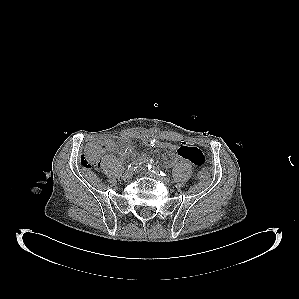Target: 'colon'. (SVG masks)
Returning <instances> with one entry per match:
<instances>
[{"instance_id":"5ec220e1","label":"colon","mask_w":299,"mask_h":299,"mask_svg":"<svg viewBox=\"0 0 299 299\" xmlns=\"http://www.w3.org/2000/svg\"><path fill=\"white\" fill-rule=\"evenodd\" d=\"M105 150V144L100 142H93L89 144L80 159L82 167L88 169H97L100 167V156ZM198 176L201 180H206L209 177V173L206 169H201L198 172Z\"/></svg>"}]
</instances>
